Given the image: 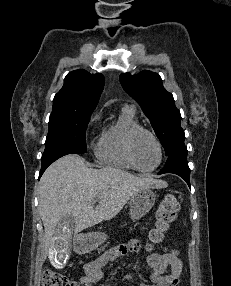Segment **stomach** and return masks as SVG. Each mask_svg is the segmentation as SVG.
<instances>
[{
  "label": "stomach",
  "mask_w": 231,
  "mask_h": 286,
  "mask_svg": "<svg viewBox=\"0 0 231 286\" xmlns=\"http://www.w3.org/2000/svg\"><path fill=\"white\" fill-rule=\"evenodd\" d=\"M156 195L150 189H143L134 193L129 202L130 217L138 220L145 216L154 206ZM107 240V235L102 232H94L79 238L75 249L81 253H87L96 249Z\"/></svg>",
  "instance_id": "1"
}]
</instances>
